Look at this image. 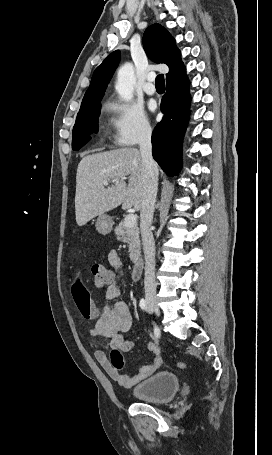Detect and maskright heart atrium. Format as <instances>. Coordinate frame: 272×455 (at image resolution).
<instances>
[{
    "mask_svg": "<svg viewBox=\"0 0 272 455\" xmlns=\"http://www.w3.org/2000/svg\"><path fill=\"white\" fill-rule=\"evenodd\" d=\"M111 113L113 140L119 146H134L151 136L152 128L143 110L130 102L113 100L108 103Z\"/></svg>",
    "mask_w": 272,
    "mask_h": 455,
    "instance_id": "d8ad5b80",
    "label": "right heart atrium"
}]
</instances>
